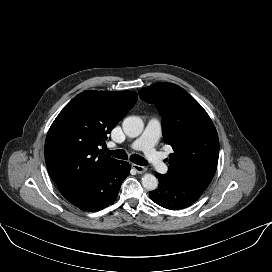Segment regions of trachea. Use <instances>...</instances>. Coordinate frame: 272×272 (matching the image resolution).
<instances>
[{
	"label": "trachea",
	"mask_w": 272,
	"mask_h": 272,
	"mask_svg": "<svg viewBox=\"0 0 272 272\" xmlns=\"http://www.w3.org/2000/svg\"><path fill=\"white\" fill-rule=\"evenodd\" d=\"M105 153L115 157V158H118V159H127V153L120 149V150H108V149H105L104 150ZM130 160L135 163V164H138V165H141V166H145L148 164V162L140 155H137V154H133L131 155L130 157Z\"/></svg>",
	"instance_id": "3493384b"
}]
</instances>
